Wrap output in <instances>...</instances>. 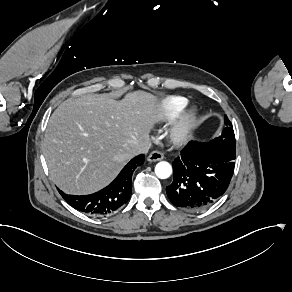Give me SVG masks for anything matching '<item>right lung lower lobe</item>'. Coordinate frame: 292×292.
I'll use <instances>...</instances> for the list:
<instances>
[{
  "label": "right lung lower lobe",
  "mask_w": 292,
  "mask_h": 292,
  "mask_svg": "<svg viewBox=\"0 0 292 292\" xmlns=\"http://www.w3.org/2000/svg\"><path fill=\"white\" fill-rule=\"evenodd\" d=\"M144 155L133 158L112 183L90 195H68L58 190L63 199L75 209L93 216L107 215L126 204L131 196V177L144 163Z\"/></svg>",
  "instance_id": "obj_1"
}]
</instances>
